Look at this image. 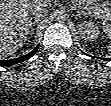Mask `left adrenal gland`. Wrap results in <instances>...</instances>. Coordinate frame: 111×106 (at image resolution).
Returning a JSON list of instances; mask_svg holds the SVG:
<instances>
[{"instance_id":"obj_1","label":"left adrenal gland","mask_w":111,"mask_h":106,"mask_svg":"<svg viewBox=\"0 0 111 106\" xmlns=\"http://www.w3.org/2000/svg\"><path fill=\"white\" fill-rule=\"evenodd\" d=\"M71 10L72 11H75V17H79L81 14H86V12L74 7V6H71Z\"/></svg>"}]
</instances>
